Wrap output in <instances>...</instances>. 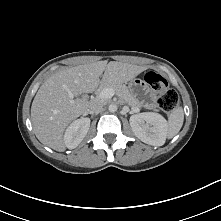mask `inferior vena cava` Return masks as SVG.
I'll use <instances>...</instances> for the list:
<instances>
[{
    "instance_id": "602c4592",
    "label": "inferior vena cava",
    "mask_w": 221,
    "mask_h": 221,
    "mask_svg": "<svg viewBox=\"0 0 221 221\" xmlns=\"http://www.w3.org/2000/svg\"><path fill=\"white\" fill-rule=\"evenodd\" d=\"M103 105L102 104H99V103H92L90 105V112L91 113H95V114H98V113H101L103 111Z\"/></svg>"
}]
</instances>
